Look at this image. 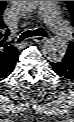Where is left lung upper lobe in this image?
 Here are the masks:
<instances>
[{
    "label": "left lung upper lobe",
    "mask_w": 74,
    "mask_h": 122,
    "mask_svg": "<svg viewBox=\"0 0 74 122\" xmlns=\"http://www.w3.org/2000/svg\"><path fill=\"white\" fill-rule=\"evenodd\" d=\"M67 5L69 7V11H70L71 16H72V25L74 26V1H67ZM68 48L74 50V40L70 42Z\"/></svg>",
    "instance_id": "obj_1"
}]
</instances>
